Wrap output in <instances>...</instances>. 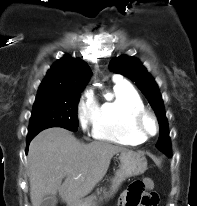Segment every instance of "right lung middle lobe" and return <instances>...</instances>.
<instances>
[{
    "instance_id": "dd1d6c3e",
    "label": "right lung middle lobe",
    "mask_w": 197,
    "mask_h": 206,
    "mask_svg": "<svg viewBox=\"0 0 197 206\" xmlns=\"http://www.w3.org/2000/svg\"><path fill=\"white\" fill-rule=\"evenodd\" d=\"M81 91H38L29 122L27 138L50 127L77 131V104Z\"/></svg>"
}]
</instances>
